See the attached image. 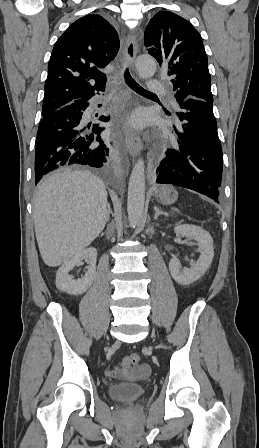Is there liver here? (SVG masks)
<instances>
[{"label":"liver","instance_id":"obj_1","mask_svg":"<svg viewBox=\"0 0 259 448\" xmlns=\"http://www.w3.org/2000/svg\"><path fill=\"white\" fill-rule=\"evenodd\" d=\"M104 182L85 170H63L43 178L33 196L39 252L51 268L90 246L107 222Z\"/></svg>","mask_w":259,"mask_h":448}]
</instances>
